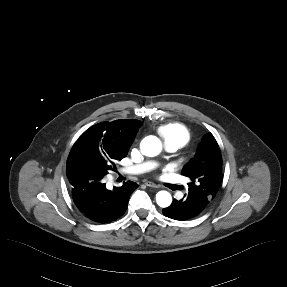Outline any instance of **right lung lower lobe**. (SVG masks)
Masks as SVG:
<instances>
[{
  "mask_svg": "<svg viewBox=\"0 0 287 287\" xmlns=\"http://www.w3.org/2000/svg\"><path fill=\"white\" fill-rule=\"evenodd\" d=\"M99 171L84 169L68 177L71 195L77 208L90 220L108 223L122 216L130 195L138 187L135 182L127 181L117 188L108 190Z\"/></svg>",
  "mask_w": 287,
  "mask_h": 287,
  "instance_id": "1",
  "label": "right lung lower lobe"
}]
</instances>
